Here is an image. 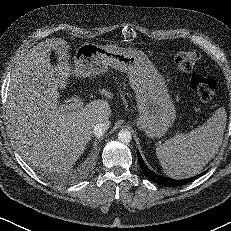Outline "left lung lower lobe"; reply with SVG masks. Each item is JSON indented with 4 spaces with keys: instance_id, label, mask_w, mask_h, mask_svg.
Masks as SVG:
<instances>
[{
    "instance_id": "obj_1",
    "label": "left lung lower lobe",
    "mask_w": 231,
    "mask_h": 231,
    "mask_svg": "<svg viewBox=\"0 0 231 231\" xmlns=\"http://www.w3.org/2000/svg\"><path fill=\"white\" fill-rule=\"evenodd\" d=\"M137 156H138V160H139V163H140L141 170L144 173V175L149 180H151V181H153V182H155V183H157L159 185H164V186H167V187L181 186V185H184L187 182L195 180L196 178H198L201 175L200 174V175H198L196 177H192V178L184 179V180H175V179H172V178H169V177H164V176L158 175V174L154 173L153 171H151L146 166V164L144 163V161H143V159H142L139 152H137Z\"/></svg>"
}]
</instances>
